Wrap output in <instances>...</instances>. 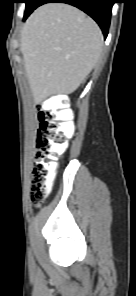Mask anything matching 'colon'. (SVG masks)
Here are the masks:
<instances>
[{"label":"colon","instance_id":"colon-1","mask_svg":"<svg viewBox=\"0 0 136 296\" xmlns=\"http://www.w3.org/2000/svg\"><path fill=\"white\" fill-rule=\"evenodd\" d=\"M70 117L69 112L52 99L40 105V131L36 140L30 193L31 201L35 204L42 203L50 192L58 157L66 151L72 135L73 123Z\"/></svg>","mask_w":136,"mask_h":296}]
</instances>
